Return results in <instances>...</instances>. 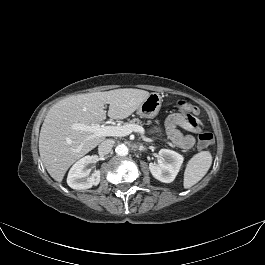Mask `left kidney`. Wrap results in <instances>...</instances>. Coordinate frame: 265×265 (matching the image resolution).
<instances>
[{
	"instance_id": "obj_1",
	"label": "left kidney",
	"mask_w": 265,
	"mask_h": 265,
	"mask_svg": "<svg viewBox=\"0 0 265 265\" xmlns=\"http://www.w3.org/2000/svg\"><path fill=\"white\" fill-rule=\"evenodd\" d=\"M158 156L157 164L149 163L150 172L155 179L163 183H171L181 168L183 156L169 149H161Z\"/></svg>"
}]
</instances>
